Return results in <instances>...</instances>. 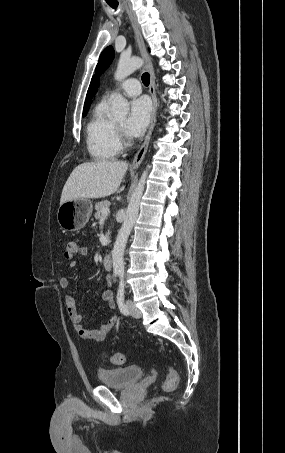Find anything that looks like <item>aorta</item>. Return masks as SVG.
I'll use <instances>...</instances> for the list:
<instances>
[{"label":"aorta","instance_id":"762f6f07","mask_svg":"<svg viewBox=\"0 0 285 453\" xmlns=\"http://www.w3.org/2000/svg\"><path fill=\"white\" fill-rule=\"evenodd\" d=\"M143 64L144 61L139 57H126L122 55L119 59L118 66L114 75L115 80L118 82L124 80L135 70L142 67ZM129 109L130 106L128 101L121 94H116L112 97L110 110L111 114L114 117L125 118L128 115ZM149 168L150 166H148L147 169L142 173L138 185L130 198L125 220L118 232L114 248L112 250L113 271L115 274L124 272V250L130 232L138 217L139 204L144 192Z\"/></svg>","mask_w":285,"mask_h":453}]
</instances>
